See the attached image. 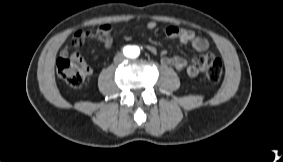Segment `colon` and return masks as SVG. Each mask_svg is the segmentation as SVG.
Here are the masks:
<instances>
[{"label":"colon","mask_w":283,"mask_h":162,"mask_svg":"<svg viewBox=\"0 0 283 162\" xmlns=\"http://www.w3.org/2000/svg\"><path fill=\"white\" fill-rule=\"evenodd\" d=\"M205 74L210 82H218L223 74V64L218 58L208 57L205 62ZM58 76L71 87H80L90 73L87 64L78 58L61 56L56 62Z\"/></svg>","instance_id":"5ec220e1"}]
</instances>
